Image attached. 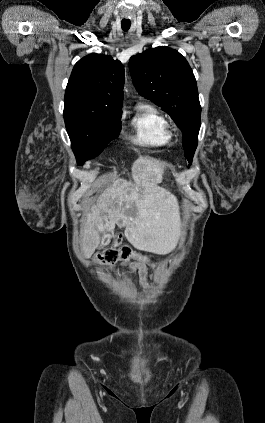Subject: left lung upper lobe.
<instances>
[{"label": "left lung upper lobe", "mask_w": 265, "mask_h": 423, "mask_svg": "<svg viewBox=\"0 0 265 423\" xmlns=\"http://www.w3.org/2000/svg\"><path fill=\"white\" fill-rule=\"evenodd\" d=\"M129 69L140 95L160 106L183 134L185 157L192 162L200 129L197 83L187 60L169 47H157L130 58Z\"/></svg>", "instance_id": "5c2ea615"}]
</instances>
